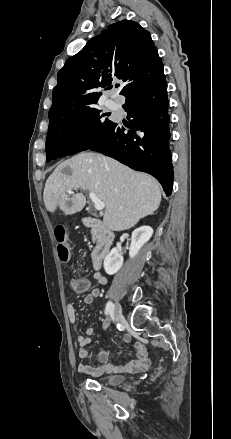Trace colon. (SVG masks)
<instances>
[{
	"mask_svg": "<svg viewBox=\"0 0 231 439\" xmlns=\"http://www.w3.org/2000/svg\"><path fill=\"white\" fill-rule=\"evenodd\" d=\"M58 241V255L62 262H68L71 259V250L66 243V231L63 227L55 230ZM90 283L85 278H76L71 280L70 288L76 293H83L89 289Z\"/></svg>",
	"mask_w": 231,
	"mask_h": 439,
	"instance_id": "1",
	"label": "colon"
}]
</instances>
